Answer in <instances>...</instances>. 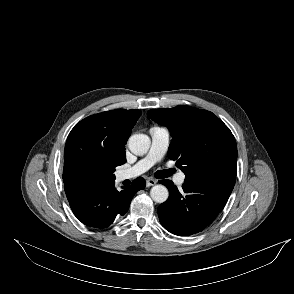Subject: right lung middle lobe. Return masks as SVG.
Returning <instances> with one entry per match:
<instances>
[{
  "label": "right lung middle lobe",
  "instance_id": "dd1d6c3e",
  "mask_svg": "<svg viewBox=\"0 0 294 294\" xmlns=\"http://www.w3.org/2000/svg\"><path fill=\"white\" fill-rule=\"evenodd\" d=\"M114 170L115 167L110 162L80 157L69 164L66 175L76 184L90 185L114 180Z\"/></svg>",
  "mask_w": 294,
  "mask_h": 294
}]
</instances>
